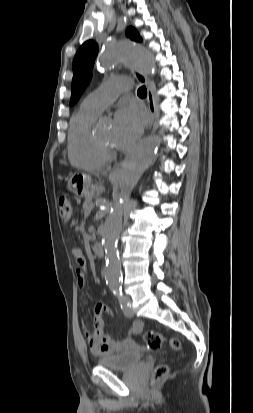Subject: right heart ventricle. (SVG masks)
<instances>
[{"label": "right heart ventricle", "mask_w": 253, "mask_h": 413, "mask_svg": "<svg viewBox=\"0 0 253 413\" xmlns=\"http://www.w3.org/2000/svg\"><path fill=\"white\" fill-rule=\"evenodd\" d=\"M97 117V113L81 106L70 120L68 157L77 167L95 169L104 165L107 160L94 142L93 125Z\"/></svg>", "instance_id": "e07e8e85"}]
</instances>
